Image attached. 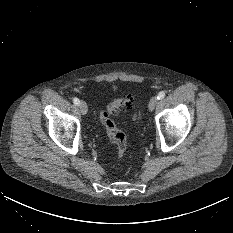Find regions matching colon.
Returning <instances> with one entry per match:
<instances>
[{"instance_id": "1", "label": "colon", "mask_w": 233, "mask_h": 233, "mask_svg": "<svg viewBox=\"0 0 233 233\" xmlns=\"http://www.w3.org/2000/svg\"><path fill=\"white\" fill-rule=\"evenodd\" d=\"M133 98L130 95L112 100L100 113V122L108 138L115 144L118 158H123L127 149L125 134L120 131L111 116L132 108ZM136 118V116H134Z\"/></svg>"}]
</instances>
